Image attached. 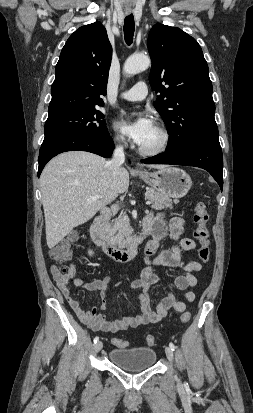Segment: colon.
Segmentation results:
<instances>
[{
    "label": "colon",
    "mask_w": 253,
    "mask_h": 413,
    "mask_svg": "<svg viewBox=\"0 0 253 413\" xmlns=\"http://www.w3.org/2000/svg\"><path fill=\"white\" fill-rule=\"evenodd\" d=\"M193 219L196 224L194 237L200 245L198 256L202 262L207 263L210 259V234L208 229L209 213L204 202L200 201L195 205ZM77 239L78 235L76 233L69 234L50 250L51 258L59 263L68 261L71 257V246ZM63 271L66 274L68 272V266L64 267ZM190 318V313L184 312L180 317V322L186 324L189 322ZM113 343L120 347H125L128 344L122 339H114ZM146 343L150 346L153 345L155 343V337L153 335H148L146 337Z\"/></svg>",
    "instance_id": "obj_1"
}]
</instances>
